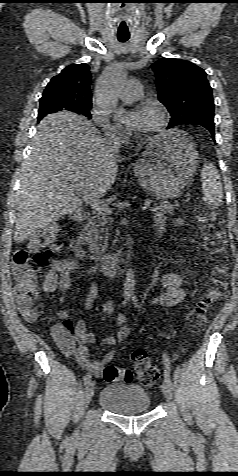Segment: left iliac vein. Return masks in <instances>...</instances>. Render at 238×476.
I'll use <instances>...</instances> for the list:
<instances>
[{"mask_svg": "<svg viewBox=\"0 0 238 476\" xmlns=\"http://www.w3.org/2000/svg\"><path fill=\"white\" fill-rule=\"evenodd\" d=\"M161 388H162V392L164 396L167 399L172 400L173 399L172 387L167 382L164 381Z\"/></svg>", "mask_w": 238, "mask_h": 476, "instance_id": "4c4485c4", "label": "left iliac vein"}]
</instances>
